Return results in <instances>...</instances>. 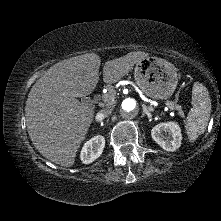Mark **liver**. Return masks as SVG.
<instances>
[{
	"instance_id": "liver-1",
	"label": "liver",
	"mask_w": 221,
	"mask_h": 221,
	"mask_svg": "<svg viewBox=\"0 0 221 221\" xmlns=\"http://www.w3.org/2000/svg\"><path fill=\"white\" fill-rule=\"evenodd\" d=\"M148 53L133 51L109 60L103 81L124 77ZM101 59L94 53L63 60L46 71L31 88L25 106L26 124L32 143L53 163L71 167L93 121L94 109L77 97L92 93L99 80Z\"/></svg>"
}]
</instances>
